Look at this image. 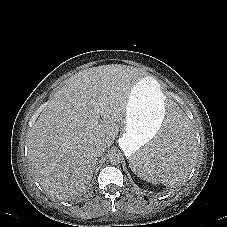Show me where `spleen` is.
<instances>
[{"instance_id": "obj_1", "label": "spleen", "mask_w": 227, "mask_h": 227, "mask_svg": "<svg viewBox=\"0 0 227 227\" xmlns=\"http://www.w3.org/2000/svg\"><path fill=\"white\" fill-rule=\"evenodd\" d=\"M195 159V135L188 118L180 107L171 106L166 111L163 128L131 155L129 166L148 182L172 187L188 177Z\"/></svg>"}]
</instances>
